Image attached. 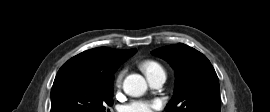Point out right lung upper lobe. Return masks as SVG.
I'll list each match as a JSON object with an SVG mask.
<instances>
[{
	"instance_id": "1",
	"label": "right lung upper lobe",
	"mask_w": 270,
	"mask_h": 112,
	"mask_svg": "<svg viewBox=\"0 0 270 112\" xmlns=\"http://www.w3.org/2000/svg\"><path fill=\"white\" fill-rule=\"evenodd\" d=\"M136 53V49L117 50L98 47L84 51L69 59L59 71L75 70L114 77L118 67Z\"/></svg>"
}]
</instances>
